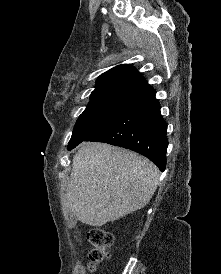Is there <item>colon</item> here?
Segmentation results:
<instances>
[{
    "label": "colon",
    "instance_id": "5ec220e1",
    "mask_svg": "<svg viewBox=\"0 0 221 274\" xmlns=\"http://www.w3.org/2000/svg\"><path fill=\"white\" fill-rule=\"evenodd\" d=\"M88 241L93 246L89 258L91 265L101 263L108 257L107 250L113 244V236L110 232L102 228H93L87 234Z\"/></svg>",
    "mask_w": 221,
    "mask_h": 274
}]
</instances>
